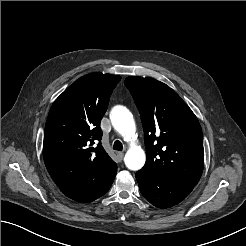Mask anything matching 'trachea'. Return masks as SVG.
<instances>
[{"label":"trachea","instance_id":"obj_1","mask_svg":"<svg viewBox=\"0 0 246 246\" xmlns=\"http://www.w3.org/2000/svg\"><path fill=\"white\" fill-rule=\"evenodd\" d=\"M113 149L117 151H121L123 149V145L119 140H116L113 145Z\"/></svg>","mask_w":246,"mask_h":246}]
</instances>
